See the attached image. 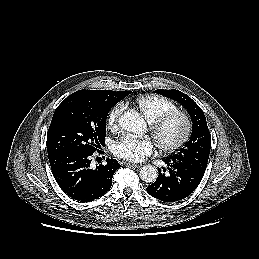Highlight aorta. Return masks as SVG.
Wrapping results in <instances>:
<instances>
[{"label": "aorta", "mask_w": 259, "mask_h": 259, "mask_svg": "<svg viewBox=\"0 0 259 259\" xmlns=\"http://www.w3.org/2000/svg\"><path fill=\"white\" fill-rule=\"evenodd\" d=\"M119 125L126 131L135 134H144L146 131V122L136 111L125 112L119 118ZM140 178L145 182H154L157 179L158 172L152 165L143 166L140 169Z\"/></svg>", "instance_id": "aorta-1"}]
</instances>
